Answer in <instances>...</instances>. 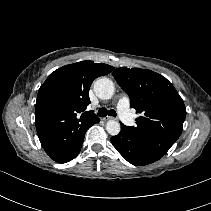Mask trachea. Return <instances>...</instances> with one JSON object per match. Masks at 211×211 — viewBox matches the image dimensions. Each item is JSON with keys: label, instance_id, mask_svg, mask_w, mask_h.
I'll return each mask as SVG.
<instances>
[{"label": "trachea", "instance_id": "obj_1", "mask_svg": "<svg viewBox=\"0 0 211 211\" xmlns=\"http://www.w3.org/2000/svg\"><path fill=\"white\" fill-rule=\"evenodd\" d=\"M97 115L99 117H105L107 115L116 117L117 114H116V111L113 109L107 110L106 108H100Z\"/></svg>", "mask_w": 211, "mask_h": 211}]
</instances>
